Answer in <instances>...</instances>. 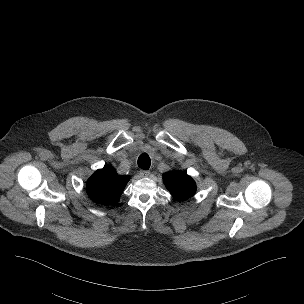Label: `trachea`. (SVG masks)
<instances>
[{
	"label": "trachea",
	"instance_id": "obj_1",
	"mask_svg": "<svg viewBox=\"0 0 304 304\" xmlns=\"http://www.w3.org/2000/svg\"><path fill=\"white\" fill-rule=\"evenodd\" d=\"M151 165V160L148 154L143 153L138 158V166L141 169L148 170Z\"/></svg>",
	"mask_w": 304,
	"mask_h": 304
}]
</instances>
